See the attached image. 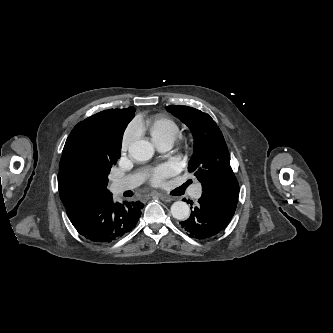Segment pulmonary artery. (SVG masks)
Listing matches in <instances>:
<instances>
[{
  "label": "pulmonary artery",
  "mask_w": 333,
  "mask_h": 333,
  "mask_svg": "<svg viewBox=\"0 0 333 333\" xmlns=\"http://www.w3.org/2000/svg\"><path fill=\"white\" fill-rule=\"evenodd\" d=\"M156 146L161 151H167L172 147L171 141H161L156 143ZM143 174L135 173L122 178H116L112 181L111 188L116 194H120L124 191L131 190L138 186L143 181ZM193 193L195 198L201 196V186L199 184L195 185L193 188Z\"/></svg>",
  "instance_id": "obj_1"
}]
</instances>
